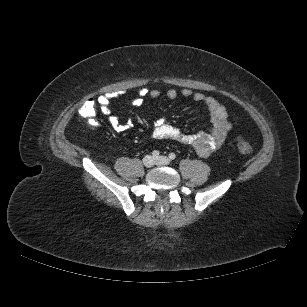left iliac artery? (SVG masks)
<instances>
[{
	"label": "left iliac artery",
	"instance_id": "obj_1",
	"mask_svg": "<svg viewBox=\"0 0 307 307\" xmlns=\"http://www.w3.org/2000/svg\"><path fill=\"white\" fill-rule=\"evenodd\" d=\"M169 158H170L171 160H175V159H176V154H175V153H170V154H169Z\"/></svg>",
	"mask_w": 307,
	"mask_h": 307
}]
</instances>
